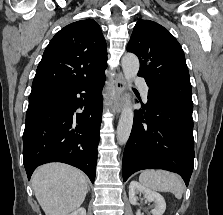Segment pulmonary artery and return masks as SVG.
Masks as SVG:
<instances>
[{
  "label": "pulmonary artery",
  "mask_w": 223,
  "mask_h": 215,
  "mask_svg": "<svg viewBox=\"0 0 223 215\" xmlns=\"http://www.w3.org/2000/svg\"><path fill=\"white\" fill-rule=\"evenodd\" d=\"M135 81H137L136 87L140 90V97L141 98H150L151 94L149 93V86L148 82H144L145 78L144 77H139L135 78Z\"/></svg>",
  "instance_id": "pulmonary-artery-1"
}]
</instances>
